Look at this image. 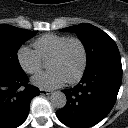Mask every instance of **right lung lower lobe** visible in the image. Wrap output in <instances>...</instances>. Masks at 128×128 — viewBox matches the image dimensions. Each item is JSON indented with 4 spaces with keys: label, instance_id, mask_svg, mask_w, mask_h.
I'll return each mask as SVG.
<instances>
[{
    "label": "right lung lower lobe",
    "instance_id": "98d812e1",
    "mask_svg": "<svg viewBox=\"0 0 128 128\" xmlns=\"http://www.w3.org/2000/svg\"><path fill=\"white\" fill-rule=\"evenodd\" d=\"M39 89L28 84L24 71L0 72V128H16L28 116L30 102Z\"/></svg>",
    "mask_w": 128,
    "mask_h": 128
}]
</instances>
